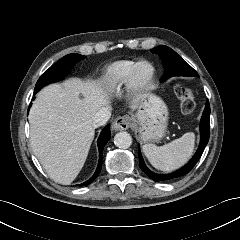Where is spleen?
<instances>
[{"label": "spleen", "mask_w": 240, "mask_h": 240, "mask_svg": "<svg viewBox=\"0 0 240 240\" xmlns=\"http://www.w3.org/2000/svg\"><path fill=\"white\" fill-rule=\"evenodd\" d=\"M194 144V133L187 132L163 146L145 144L142 149L153 167L168 172L181 167L188 161L193 153Z\"/></svg>", "instance_id": "1"}]
</instances>
